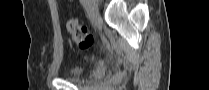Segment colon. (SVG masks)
I'll list each match as a JSON object with an SVG mask.
<instances>
[{
	"instance_id": "1",
	"label": "colon",
	"mask_w": 209,
	"mask_h": 90,
	"mask_svg": "<svg viewBox=\"0 0 209 90\" xmlns=\"http://www.w3.org/2000/svg\"><path fill=\"white\" fill-rule=\"evenodd\" d=\"M67 30L73 42L78 44L80 48L86 49L93 44L94 36L92 32L86 26L79 24L77 20H69Z\"/></svg>"
}]
</instances>
